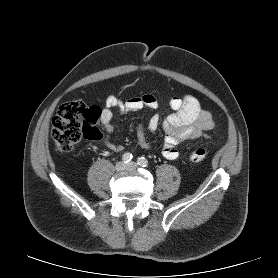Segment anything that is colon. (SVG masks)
Instances as JSON below:
<instances>
[{
    "mask_svg": "<svg viewBox=\"0 0 278 278\" xmlns=\"http://www.w3.org/2000/svg\"><path fill=\"white\" fill-rule=\"evenodd\" d=\"M101 109L75 100L60 106L52 121L51 137L59 154L70 152L82 139L97 140L101 137ZM208 156L203 147L193 148L189 158L201 162Z\"/></svg>",
    "mask_w": 278,
    "mask_h": 278,
    "instance_id": "colon-1",
    "label": "colon"
}]
</instances>
